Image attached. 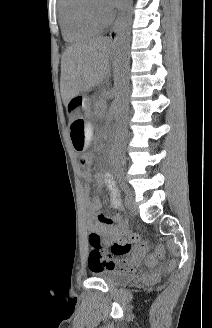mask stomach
Instances as JSON below:
<instances>
[{
  "label": "stomach",
  "mask_w": 212,
  "mask_h": 328,
  "mask_svg": "<svg viewBox=\"0 0 212 328\" xmlns=\"http://www.w3.org/2000/svg\"><path fill=\"white\" fill-rule=\"evenodd\" d=\"M65 107V119L70 130L71 142L77 152H82L88 147L91 139L90 123L94 115L92 104L79 94L66 102Z\"/></svg>",
  "instance_id": "1"
}]
</instances>
